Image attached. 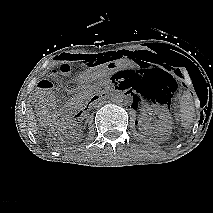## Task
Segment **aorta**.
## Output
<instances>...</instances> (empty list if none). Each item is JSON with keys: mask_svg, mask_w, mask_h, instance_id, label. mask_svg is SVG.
<instances>
[{"mask_svg": "<svg viewBox=\"0 0 213 213\" xmlns=\"http://www.w3.org/2000/svg\"><path fill=\"white\" fill-rule=\"evenodd\" d=\"M109 99L112 103L116 104V105H120L123 103L125 96L122 92L116 91L113 92L110 96Z\"/></svg>", "mask_w": 213, "mask_h": 213, "instance_id": "aorta-1", "label": "aorta"}]
</instances>
